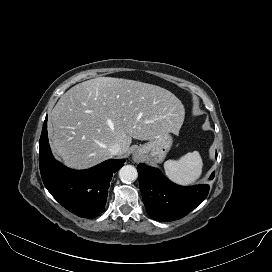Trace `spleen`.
<instances>
[{
  "mask_svg": "<svg viewBox=\"0 0 272 272\" xmlns=\"http://www.w3.org/2000/svg\"><path fill=\"white\" fill-rule=\"evenodd\" d=\"M203 161L198 151L189 152L178 160L164 163L167 177L179 185H191L202 174Z\"/></svg>",
  "mask_w": 272,
  "mask_h": 272,
  "instance_id": "3e777b00",
  "label": "spleen"
}]
</instances>
